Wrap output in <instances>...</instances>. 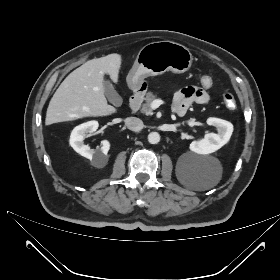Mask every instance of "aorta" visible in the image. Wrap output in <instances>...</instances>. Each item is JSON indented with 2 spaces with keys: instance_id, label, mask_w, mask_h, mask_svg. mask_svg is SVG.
<instances>
[{
  "instance_id": "obj_1",
  "label": "aorta",
  "mask_w": 280,
  "mask_h": 280,
  "mask_svg": "<svg viewBox=\"0 0 280 280\" xmlns=\"http://www.w3.org/2000/svg\"><path fill=\"white\" fill-rule=\"evenodd\" d=\"M148 142L150 144H157L160 142V134L158 132H151L148 135Z\"/></svg>"
}]
</instances>
